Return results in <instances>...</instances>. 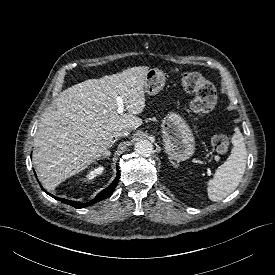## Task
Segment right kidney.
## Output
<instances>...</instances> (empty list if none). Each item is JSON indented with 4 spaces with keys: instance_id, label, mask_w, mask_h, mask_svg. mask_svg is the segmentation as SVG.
<instances>
[{
    "instance_id": "1",
    "label": "right kidney",
    "mask_w": 275,
    "mask_h": 275,
    "mask_svg": "<svg viewBox=\"0 0 275 275\" xmlns=\"http://www.w3.org/2000/svg\"><path fill=\"white\" fill-rule=\"evenodd\" d=\"M103 171H104V168L102 166H99V167L89 171L86 177H87V179H93L94 177L102 174Z\"/></svg>"
}]
</instances>
